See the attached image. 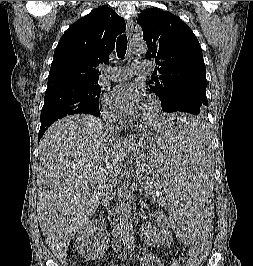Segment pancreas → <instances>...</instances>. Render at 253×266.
<instances>
[{"mask_svg": "<svg viewBox=\"0 0 253 266\" xmlns=\"http://www.w3.org/2000/svg\"><path fill=\"white\" fill-rule=\"evenodd\" d=\"M139 179H140V180L143 179V180L145 181V184H146L147 186H149L148 180H147L146 178H144V177H143V178L139 177ZM146 196L149 197V194H146Z\"/></svg>", "mask_w": 253, "mask_h": 266, "instance_id": "pancreas-1", "label": "pancreas"}]
</instances>
